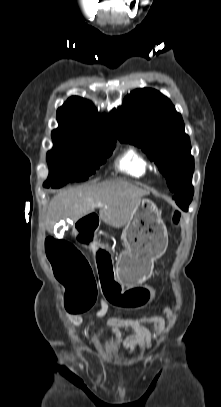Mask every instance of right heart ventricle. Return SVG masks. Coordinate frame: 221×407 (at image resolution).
Wrapping results in <instances>:
<instances>
[{
  "mask_svg": "<svg viewBox=\"0 0 221 407\" xmlns=\"http://www.w3.org/2000/svg\"><path fill=\"white\" fill-rule=\"evenodd\" d=\"M116 166L118 170L134 178H142L153 171L152 163L134 149L124 152Z\"/></svg>",
  "mask_w": 221,
  "mask_h": 407,
  "instance_id": "e07e8e85",
  "label": "right heart ventricle"
}]
</instances>
